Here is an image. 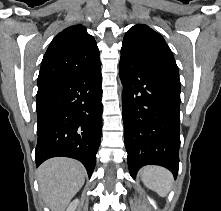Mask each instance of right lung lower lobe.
Segmentation results:
<instances>
[{"label":"right lung lower lobe","mask_w":221,"mask_h":211,"mask_svg":"<svg viewBox=\"0 0 221 211\" xmlns=\"http://www.w3.org/2000/svg\"><path fill=\"white\" fill-rule=\"evenodd\" d=\"M101 66L38 87L36 166L65 156L79 160L91 177L102 131Z\"/></svg>","instance_id":"1"}]
</instances>
